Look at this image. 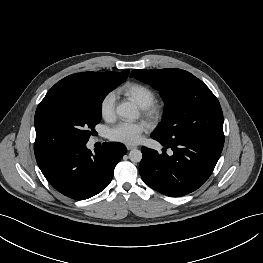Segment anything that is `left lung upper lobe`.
<instances>
[{
    "instance_id": "obj_1",
    "label": "left lung upper lobe",
    "mask_w": 263,
    "mask_h": 263,
    "mask_svg": "<svg viewBox=\"0 0 263 263\" xmlns=\"http://www.w3.org/2000/svg\"><path fill=\"white\" fill-rule=\"evenodd\" d=\"M130 76L160 91L165 101L163 121L153 132L164 141L178 137L223 134V113L211 90L191 73L177 69L134 70Z\"/></svg>"
}]
</instances>
